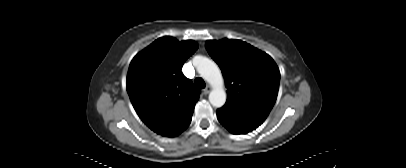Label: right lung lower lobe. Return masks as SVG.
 <instances>
[{
  "label": "right lung lower lobe",
  "mask_w": 406,
  "mask_h": 168,
  "mask_svg": "<svg viewBox=\"0 0 406 168\" xmlns=\"http://www.w3.org/2000/svg\"><path fill=\"white\" fill-rule=\"evenodd\" d=\"M188 126H189V125H188ZM188 126H187V127H188ZM187 127H186V128H187ZM186 128H184L183 130H185ZM183 130H182V131H183ZM182 131H181V132H182ZM179 134H180V133H179Z\"/></svg>",
  "instance_id": "98d812e1"
}]
</instances>
